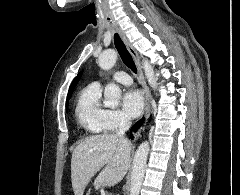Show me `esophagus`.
I'll return each mask as SVG.
<instances>
[{"label": "esophagus", "instance_id": "obj_1", "mask_svg": "<svg viewBox=\"0 0 240 195\" xmlns=\"http://www.w3.org/2000/svg\"><path fill=\"white\" fill-rule=\"evenodd\" d=\"M112 27L120 35L121 39L125 43V46L127 47L128 52L131 54V56L133 57V60L136 64V67H137V70H138V73H139V77H140L141 82L144 86V91H145V118L147 119L150 115V112H151V95H150L149 88L147 87L146 82L144 80V75H143V71H142L140 58L138 56V53L134 49L133 45L129 41V38L125 34L124 30H122V28L120 27V25L112 24ZM139 134H140V131L135 133V136H138Z\"/></svg>", "mask_w": 240, "mask_h": 195}]
</instances>
